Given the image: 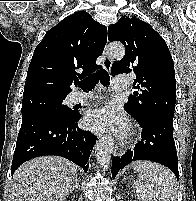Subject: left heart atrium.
Here are the masks:
<instances>
[{"label":"left heart atrium","mask_w":196,"mask_h":201,"mask_svg":"<svg viewBox=\"0 0 196 201\" xmlns=\"http://www.w3.org/2000/svg\"><path fill=\"white\" fill-rule=\"evenodd\" d=\"M85 121L87 126L95 131L110 130L124 134L128 130L126 117L113 105L90 110Z\"/></svg>","instance_id":"39dd6f15"}]
</instances>
